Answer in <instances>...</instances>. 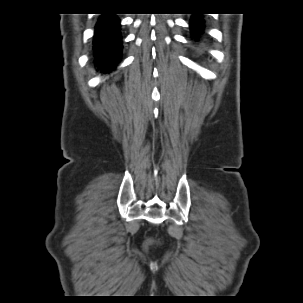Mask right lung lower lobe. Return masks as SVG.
I'll return each mask as SVG.
<instances>
[{"mask_svg":"<svg viewBox=\"0 0 303 303\" xmlns=\"http://www.w3.org/2000/svg\"><path fill=\"white\" fill-rule=\"evenodd\" d=\"M94 58L103 73L110 72L119 61L122 50L120 21L113 14L99 18L94 35Z\"/></svg>","mask_w":303,"mask_h":303,"instance_id":"98d812e1","label":"right lung lower lobe"}]
</instances>
